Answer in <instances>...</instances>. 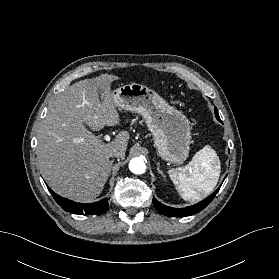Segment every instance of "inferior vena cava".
<instances>
[{
  "instance_id": "obj_1",
  "label": "inferior vena cava",
  "mask_w": 279,
  "mask_h": 279,
  "mask_svg": "<svg viewBox=\"0 0 279 279\" xmlns=\"http://www.w3.org/2000/svg\"><path fill=\"white\" fill-rule=\"evenodd\" d=\"M122 155V151L120 149H113L110 153L109 156L110 157H118Z\"/></svg>"
}]
</instances>
